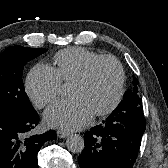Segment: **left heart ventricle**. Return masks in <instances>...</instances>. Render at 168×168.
I'll return each instance as SVG.
<instances>
[{"mask_svg":"<svg viewBox=\"0 0 168 168\" xmlns=\"http://www.w3.org/2000/svg\"><path fill=\"white\" fill-rule=\"evenodd\" d=\"M118 80L117 67L113 62L99 63L90 78L84 83H72L69 94L81 97L96 112L109 104L113 98Z\"/></svg>","mask_w":168,"mask_h":168,"instance_id":"1","label":"left heart ventricle"}]
</instances>
